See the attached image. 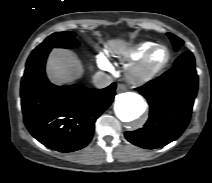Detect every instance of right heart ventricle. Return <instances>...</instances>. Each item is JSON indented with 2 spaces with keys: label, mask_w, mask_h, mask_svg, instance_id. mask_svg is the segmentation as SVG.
I'll return each instance as SVG.
<instances>
[{
  "label": "right heart ventricle",
  "mask_w": 212,
  "mask_h": 183,
  "mask_svg": "<svg viewBox=\"0 0 212 183\" xmlns=\"http://www.w3.org/2000/svg\"><path fill=\"white\" fill-rule=\"evenodd\" d=\"M156 43L152 41H145L137 44L131 50H129L123 59L127 61H136L139 59L147 50H149Z\"/></svg>",
  "instance_id": "right-heart-ventricle-1"
}]
</instances>
